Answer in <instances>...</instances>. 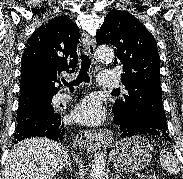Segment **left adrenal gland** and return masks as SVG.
Wrapping results in <instances>:
<instances>
[{"mask_svg":"<svg viewBox=\"0 0 183 179\" xmlns=\"http://www.w3.org/2000/svg\"><path fill=\"white\" fill-rule=\"evenodd\" d=\"M111 179H121L118 174H112Z\"/></svg>","mask_w":183,"mask_h":179,"instance_id":"left-adrenal-gland-1","label":"left adrenal gland"}]
</instances>
